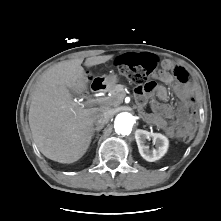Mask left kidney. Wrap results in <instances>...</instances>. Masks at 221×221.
Here are the masks:
<instances>
[{
  "label": "left kidney",
  "instance_id": "5707ae66",
  "mask_svg": "<svg viewBox=\"0 0 221 221\" xmlns=\"http://www.w3.org/2000/svg\"><path fill=\"white\" fill-rule=\"evenodd\" d=\"M153 139V143L156 145V149L149 150L146 146L147 139ZM135 139L138 145L140 155L149 162L159 160L165 155L169 146V140L166 136L160 133H152L146 130H137L135 133Z\"/></svg>",
  "mask_w": 221,
  "mask_h": 221
}]
</instances>
